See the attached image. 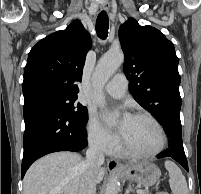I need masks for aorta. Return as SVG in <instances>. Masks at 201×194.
<instances>
[{"mask_svg":"<svg viewBox=\"0 0 201 194\" xmlns=\"http://www.w3.org/2000/svg\"><path fill=\"white\" fill-rule=\"evenodd\" d=\"M124 61V54L122 51L107 52L97 63L93 73V84L95 87V100L99 107H105V100L103 96V88L112 75L117 71ZM117 115L112 116L111 120L115 122ZM119 181L117 175H112L109 179L105 194H118Z\"/></svg>","mask_w":201,"mask_h":194,"instance_id":"aorta-1","label":"aorta"}]
</instances>
